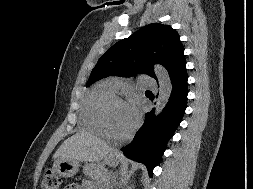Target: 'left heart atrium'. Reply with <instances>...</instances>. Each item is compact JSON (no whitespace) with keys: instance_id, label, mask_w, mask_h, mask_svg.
<instances>
[{"instance_id":"left-heart-atrium-1","label":"left heart atrium","mask_w":253,"mask_h":189,"mask_svg":"<svg viewBox=\"0 0 253 189\" xmlns=\"http://www.w3.org/2000/svg\"><path fill=\"white\" fill-rule=\"evenodd\" d=\"M127 109L131 118L136 122L139 115L137 102L135 100H132L129 104H127Z\"/></svg>"}]
</instances>
